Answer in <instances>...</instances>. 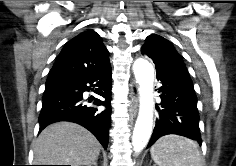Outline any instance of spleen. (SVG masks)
<instances>
[{"instance_id":"1","label":"spleen","mask_w":236,"mask_h":166,"mask_svg":"<svg viewBox=\"0 0 236 166\" xmlns=\"http://www.w3.org/2000/svg\"><path fill=\"white\" fill-rule=\"evenodd\" d=\"M151 157L159 166H201L195 142L178 135L160 138L151 148Z\"/></svg>"}]
</instances>
